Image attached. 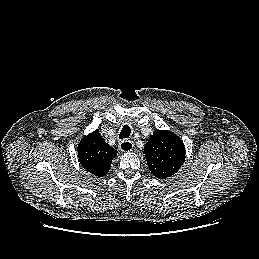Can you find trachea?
Wrapping results in <instances>:
<instances>
[{
	"label": "trachea",
	"mask_w": 259,
	"mask_h": 259,
	"mask_svg": "<svg viewBox=\"0 0 259 259\" xmlns=\"http://www.w3.org/2000/svg\"><path fill=\"white\" fill-rule=\"evenodd\" d=\"M131 129L128 125H124L120 134H119V139H126L130 136Z\"/></svg>",
	"instance_id": "obj_1"
}]
</instances>
